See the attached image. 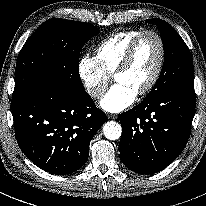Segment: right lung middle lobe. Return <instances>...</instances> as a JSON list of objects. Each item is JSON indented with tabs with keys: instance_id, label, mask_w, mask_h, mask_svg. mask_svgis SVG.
Masks as SVG:
<instances>
[{
	"instance_id": "right-lung-middle-lobe-1",
	"label": "right lung middle lobe",
	"mask_w": 206,
	"mask_h": 206,
	"mask_svg": "<svg viewBox=\"0 0 206 206\" xmlns=\"http://www.w3.org/2000/svg\"><path fill=\"white\" fill-rule=\"evenodd\" d=\"M98 33L99 29L89 23L59 18L42 23L19 53L12 100L47 80L58 81L75 92H84L79 76V53Z\"/></svg>"
}]
</instances>
